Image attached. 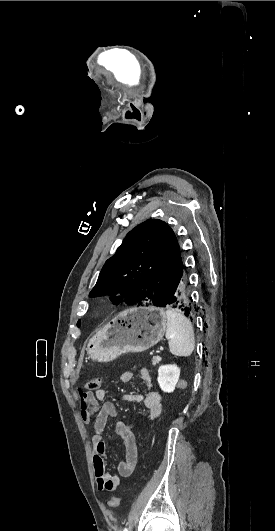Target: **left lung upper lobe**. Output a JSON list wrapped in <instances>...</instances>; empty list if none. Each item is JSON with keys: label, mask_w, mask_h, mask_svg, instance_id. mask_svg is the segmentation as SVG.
Wrapping results in <instances>:
<instances>
[{"label": "left lung upper lobe", "mask_w": 275, "mask_h": 531, "mask_svg": "<svg viewBox=\"0 0 275 531\" xmlns=\"http://www.w3.org/2000/svg\"><path fill=\"white\" fill-rule=\"evenodd\" d=\"M183 270L174 231L164 221L149 219L130 231L105 262L90 296L107 295L114 304L163 307Z\"/></svg>", "instance_id": "1"}]
</instances>
